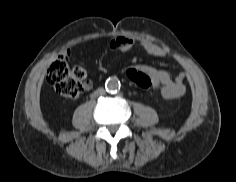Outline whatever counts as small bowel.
<instances>
[{"label":"small bowel","mask_w":236,"mask_h":182,"mask_svg":"<svg viewBox=\"0 0 236 182\" xmlns=\"http://www.w3.org/2000/svg\"><path fill=\"white\" fill-rule=\"evenodd\" d=\"M134 43L135 42L131 37L118 36L111 41L110 49L112 51L127 52L132 49ZM141 46L148 54L152 56L166 57L169 54V50L167 48L149 40H143L141 42ZM70 54V49H66L62 52L61 56L63 59H68ZM137 68L146 72L150 76L153 88L161 86V93L165 99H175L185 94L186 85L185 74L183 72L179 73L175 78H172L167 71L156 69L148 65H139ZM91 87L92 82L90 80H86L84 88L89 90Z\"/></svg>","instance_id":"c3829d8e"}]
</instances>
